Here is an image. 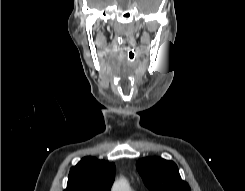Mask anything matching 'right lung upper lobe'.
Segmentation results:
<instances>
[{
    "label": "right lung upper lobe",
    "mask_w": 245,
    "mask_h": 191,
    "mask_svg": "<svg viewBox=\"0 0 245 191\" xmlns=\"http://www.w3.org/2000/svg\"><path fill=\"white\" fill-rule=\"evenodd\" d=\"M115 165L95 157H84L69 173L64 191H110Z\"/></svg>",
    "instance_id": "cb5924a9"
}]
</instances>
